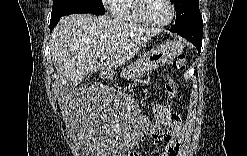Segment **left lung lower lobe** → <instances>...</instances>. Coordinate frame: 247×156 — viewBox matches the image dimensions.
<instances>
[{
	"instance_id": "0a47b994",
	"label": "left lung lower lobe",
	"mask_w": 247,
	"mask_h": 156,
	"mask_svg": "<svg viewBox=\"0 0 247 156\" xmlns=\"http://www.w3.org/2000/svg\"><path fill=\"white\" fill-rule=\"evenodd\" d=\"M170 31L176 32L180 36L192 42L196 46L198 52L200 53L203 33L202 16L187 23L186 25L174 26L170 29Z\"/></svg>"
}]
</instances>
